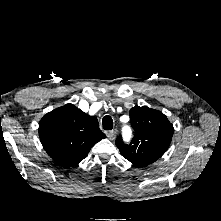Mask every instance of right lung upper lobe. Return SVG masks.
Instances as JSON below:
<instances>
[{
    "label": "right lung upper lobe",
    "instance_id": "right-lung-upper-lobe-1",
    "mask_svg": "<svg viewBox=\"0 0 221 221\" xmlns=\"http://www.w3.org/2000/svg\"><path fill=\"white\" fill-rule=\"evenodd\" d=\"M39 137L48 155L60 166L79 164L93 145L105 138L98 120L73 104L47 113L39 123Z\"/></svg>",
    "mask_w": 221,
    "mask_h": 221
}]
</instances>
